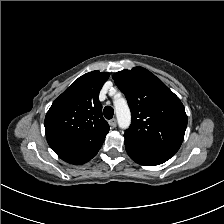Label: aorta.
I'll return each mask as SVG.
<instances>
[{"instance_id": "aorta-1", "label": "aorta", "mask_w": 224, "mask_h": 224, "mask_svg": "<svg viewBox=\"0 0 224 224\" xmlns=\"http://www.w3.org/2000/svg\"><path fill=\"white\" fill-rule=\"evenodd\" d=\"M118 125L122 129H127L131 122V114L126 100L118 99L114 101Z\"/></svg>"}]
</instances>
